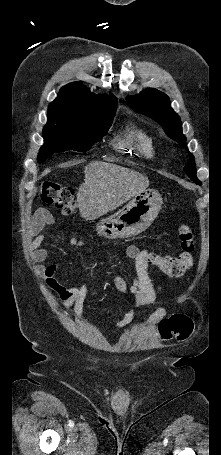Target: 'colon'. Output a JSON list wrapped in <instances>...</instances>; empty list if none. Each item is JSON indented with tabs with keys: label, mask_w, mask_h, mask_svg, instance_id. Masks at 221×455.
I'll return each mask as SVG.
<instances>
[{
	"label": "colon",
	"mask_w": 221,
	"mask_h": 455,
	"mask_svg": "<svg viewBox=\"0 0 221 455\" xmlns=\"http://www.w3.org/2000/svg\"><path fill=\"white\" fill-rule=\"evenodd\" d=\"M40 200L53 206L65 215L72 214L77 209L74 191L70 187L63 186L53 181H43L39 188ZM182 253L175 256H160L151 254L148 260L162 273L170 277H178L184 274L193 265V253L195 251V238L191 228L182 225L179 229ZM193 331L191 319L182 314H175L162 319L159 323V333L163 340L176 338L186 340Z\"/></svg>",
	"instance_id": "5ec220e1"
}]
</instances>
